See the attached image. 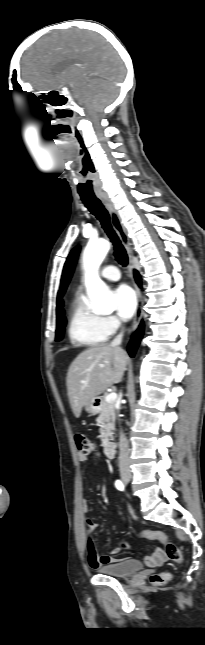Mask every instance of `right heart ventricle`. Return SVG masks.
<instances>
[{"label": "right heart ventricle", "instance_id": "obj_1", "mask_svg": "<svg viewBox=\"0 0 205 645\" xmlns=\"http://www.w3.org/2000/svg\"><path fill=\"white\" fill-rule=\"evenodd\" d=\"M68 335L73 344L84 346L101 344L110 335L105 318L89 308L82 293H78L73 301Z\"/></svg>", "mask_w": 205, "mask_h": 645}]
</instances>
